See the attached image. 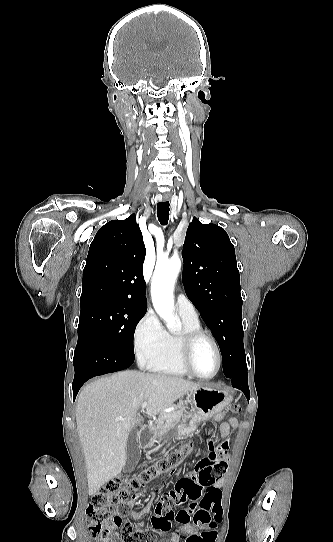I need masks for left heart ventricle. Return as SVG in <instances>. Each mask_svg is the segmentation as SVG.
<instances>
[{"label": "left heart ventricle", "mask_w": 333, "mask_h": 542, "mask_svg": "<svg viewBox=\"0 0 333 542\" xmlns=\"http://www.w3.org/2000/svg\"><path fill=\"white\" fill-rule=\"evenodd\" d=\"M191 364L200 375L210 376L217 368V356L214 348L207 340H202L194 347Z\"/></svg>", "instance_id": "1"}]
</instances>
